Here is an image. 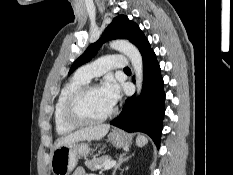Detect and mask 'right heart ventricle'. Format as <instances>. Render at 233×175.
Here are the masks:
<instances>
[{
	"label": "right heart ventricle",
	"instance_id": "obj_1",
	"mask_svg": "<svg viewBox=\"0 0 233 175\" xmlns=\"http://www.w3.org/2000/svg\"><path fill=\"white\" fill-rule=\"evenodd\" d=\"M88 81L75 75L62 87L54 108V123L58 134L65 135L73 132L77 125L69 123L64 116V105L68 97Z\"/></svg>",
	"mask_w": 233,
	"mask_h": 175
}]
</instances>
